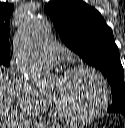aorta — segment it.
<instances>
[{
    "label": "aorta",
    "instance_id": "762f6f07",
    "mask_svg": "<svg viewBox=\"0 0 125 128\" xmlns=\"http://www.w3.org/2000/svg\"><path fill=\"white\" fill-rule=\"evenodd\" d=\"M50 34L49 24L36 17H28L21 25L14 41L17 61L22 70L40 89L50 88L52 75L43 66L37 52Z\"/></svg>",
    "mask_w": 125,
    "mask_h": 128
}]
</instances>
